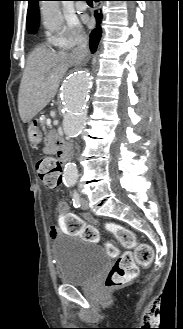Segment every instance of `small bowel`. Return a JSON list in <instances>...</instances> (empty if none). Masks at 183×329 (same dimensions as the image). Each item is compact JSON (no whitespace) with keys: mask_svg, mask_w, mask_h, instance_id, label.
Instances as JSON below:
<instances>
[{"mask_svg":"<svg viewBox=\"0 0 183 329\" xmlns=\"http://www.w3.org/2000/svg\"><path fill=\"white\" fill-rule=\"evenodd\" d=\"M45 151L47 153L53 152V142L46 141ZM55 214L59 219H74L75 213L69 211L66 202L61 201L55 209ZM84 220H60L59 226H52L49 235L51 238L56 237L60 231L65 232V236H80L81 242H98L100 230L96 223L95 218L90 214H85ZM91 224V225H87Z\"/></svg>","mask_w":183,"mask_h":329,"instance_id":"obj_1","label":"small bowel"}]
</instances>
